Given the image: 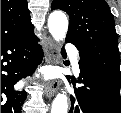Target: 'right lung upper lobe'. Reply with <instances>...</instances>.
Returning <instances> with one entry per match:
<instances>
[{"label":"right lung upper lobe","instance_id":"cb5924a9","mask_svg":"<svg viewBox=\"0 0 121 113\" xmlns=\"http://www.w3.org/2000/svg\"><path fill=\"white\" fill-rule=\"evenodd\" d=\"M33 31L27 0H1V44Z\"/></svg>","mask_w":121,"mask_h":113}]
</instances>
